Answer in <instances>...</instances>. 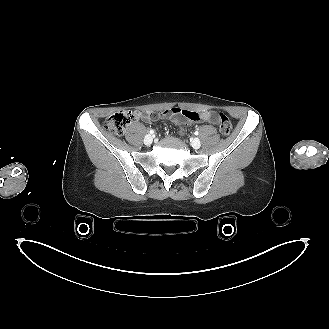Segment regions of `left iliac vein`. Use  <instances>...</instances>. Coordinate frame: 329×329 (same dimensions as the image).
I'll return each instance as SVG.
<instances>
[{"instance_id": "obj_1", "label": "left iliac vein", "mask_w": 329, "mask_h": 329, "mask_svg": "<svg viewBox=\"0 0 329 329\" xmlns=\"http://www.w3.org/2000/svg\"><path fill=\"white\" fill-rule=\"evenodd\" d=\"M191 146L194 148V149H199L201 147V142L198 138H194L191 142Z\"/></svg>"}]
</instances>
